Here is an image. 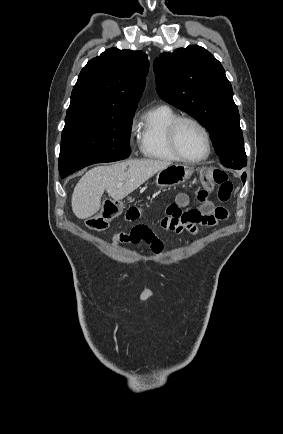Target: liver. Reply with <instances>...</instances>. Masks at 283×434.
<instances>
[{
  "label": "liver",
  "instance_id": "obj_1",
  "mask_svg": "<svg viewBox=\"0 0 283 434\" xmlns=\"http://www.w3.org/2000/svg\"><path fill=\"white\" fill-rule=\"evenodd\" d=\"M170 165L168 161L133 159L94 167L82 176L74 188L71 200L73 213L79 219L89 218L100 209L105 190L114 200H122Z\"/></svg>",
  "mask_w": 283,
  "mask_h": 434
}]
</instances>
